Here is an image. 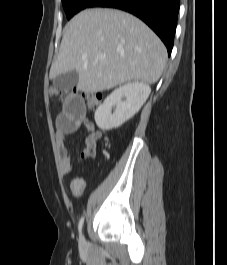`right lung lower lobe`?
<instances>
[{"label": "right lung lower lobe", "mask_w": 227, "mask_h": 265, "mask_svg": "<svg viewBox=\"0 0 227 265\" xmlns=\"http://www.w3.org/2000/svg\"><path fill=\"white\" fill-rule=\"evenodd\" d=\"M88 7L118 8L134 14L160 37L170 56L180 0H93Z\"/></svg>", "instance_id": "98d812e1"}]
</instances>
